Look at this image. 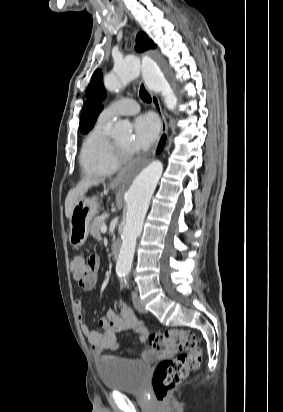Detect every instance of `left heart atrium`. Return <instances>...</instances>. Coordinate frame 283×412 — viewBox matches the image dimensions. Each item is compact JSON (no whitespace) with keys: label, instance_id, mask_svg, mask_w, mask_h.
<instances>
[{"label":"left heart atrium","instance_id":"left-heart-atrium-1","mask_svg":"<svg viewBox=\"0 0 283 412\" xmlns=\"http://www.w3.org/2000/svg\"><path fill=\"white\" fill-rule=\"evenodd\" d=\"M159 128V120L155 115L148 113L138 116L134 121L133 137L129 144L130 151L148 149L156 141Z\"/></svg>","mask_w":283,"mask_h":412}]
</instances>
